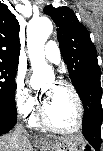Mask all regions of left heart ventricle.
<instances>
[{"instance_id":"obj_1","label":"left heart ventricle","mask_w":103,"mask_h":151,"mask_svg":"<svg viewBox=\"0 0 103 151\" xmlns=\"http://www.w3.org/2000/svg\"><path fill=\"white\" fill-rule=\"evenodd\" d=\"M46 95L45 111L49 120L56 126L72 128L77 124L78 111L72 94L54 82L46 84L42 89Z\"/></svg>"}]
</instances>
